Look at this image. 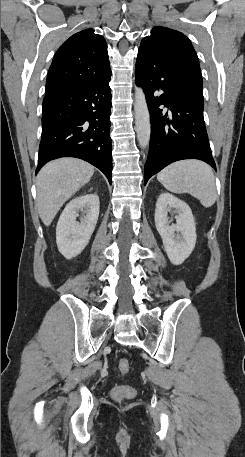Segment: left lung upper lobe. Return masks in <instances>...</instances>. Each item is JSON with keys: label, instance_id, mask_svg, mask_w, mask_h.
Masks as SVG:
<instances>
[{"label": "left lung upper lobe", "instance_id": "left-lung-upper-lobe-1", "mask_svg": "<svg viewBox=\"0 0 245 457\" xmlns=\"http://www.w3.org/2000/svg\"><path fill=\"white\" fill-rule=\"evenodd\" d=\"M138 52L168 55L193 87L203 93V80L198 57L190 40L183 33L167 27L156 26L152 29L151 35L142 39Z\"/></svg>", "mask_w": 245, "mask_h": 457}]
</instances>
